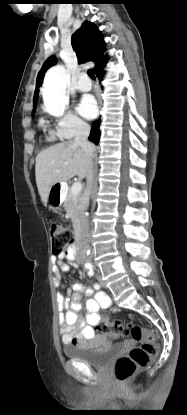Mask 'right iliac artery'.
<instances>
[{
  "label": "right iliac artery",
  "mask_w": 187,
  "mask_h": 415,
  "mask_svg": "<svg viewBox=\"0 0 187 415\" xmlns=\"http://www.w3.org/2000/svg\"><path fill=\"white\" fill-rule=\"evenodd\" d=\"M86 268H87V269H91V268H92V266L89 264V265H87V266H86Z\"/></svg>",
  "instance_id": "obj_1"
}]
</instances>
